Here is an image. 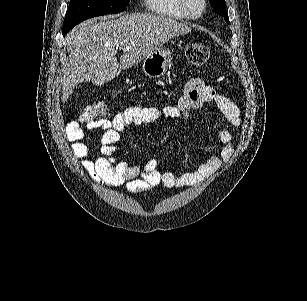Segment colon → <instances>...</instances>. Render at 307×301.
Segmentation results:
<instances>
[{
    "label": "colon",
    "mask_w": 307,
    "mask_h": 301,
    "mask_svg": "<svg viewBox=\"0 0 307 301\" xmlns=\"http://www.w3.org/2000/svg\"><path fill=\"white\" fill-rule=\"evenodd\" d=\"M185 54L189 63L195 67L204 65L210 57V49L205 44L190 43L186 46ZM106 113V106L103 102L95 106L86 107L80 115V122L85 125L93 124L100 120Z\"/></svg>",
    "instance_id": "obj_1"
}]
</instances>
